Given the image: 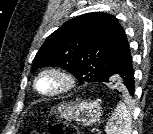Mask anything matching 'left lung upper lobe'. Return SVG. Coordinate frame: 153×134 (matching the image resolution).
Returning <instances> with one entry per match:
<instances>
[{
	"mask_svg": "<svg viewBox=\"0 0 153 134\" xmlns=\"http://www.w3.org/2000/svg\"><path fill=\"white\" fill-rule=\"evenodd\" d=\"M130 59L129 43L118 20L94 12L68 20L53 32L36 54L33 71L57 66L70 71L80 85L106 80L123 90L115 74Z\"/></svg>",
	"mask_w": 153,
	"mask_h": 134,
	"instance_id": "1",
	"label": "left lung upper lobe"
}]
</instances>
